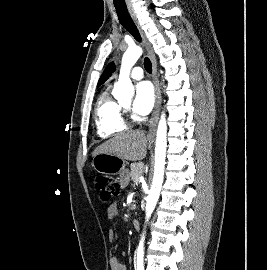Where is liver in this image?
<instances>
[{
  "label": "liver",
  "mask_w": 267,
  "mask_h": 270,
  "mask_svg": "<svg viewBox=\"0 0 267 270\" xmlns=\"http://www.w3.org/2000/svg\"><path fill=\"white\" fill-rule=\"evenodd\" d=\"M147 137L145 132H122L98 146L93 157L97 154L107 153L129 161L142 160L146 156Z\"/></svg>",
  "instance_id": "6515ba94"
}]
</instances>
